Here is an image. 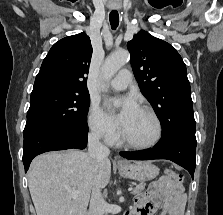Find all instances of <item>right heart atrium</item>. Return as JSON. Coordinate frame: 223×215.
Returning <instances> with one entry per match:
<instances>
[{
	"label": "right heart atrium",
	"instance_id": "right-heart-atrium-1",
	"mask_svg": "<svg viewBox=\"0 0 223 215\" xmlns=\"http://www.w3.org/2000/svg\"><path fill=\"white\" fill-rule=\"evenodd\" d=\"M87 123L91 133L100 140L111 141L118 135L116 126L98 104H91Z\"/></svg>",
	"mask_w": 223,
	"mask_h": 215
}]
</instances>
